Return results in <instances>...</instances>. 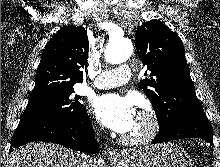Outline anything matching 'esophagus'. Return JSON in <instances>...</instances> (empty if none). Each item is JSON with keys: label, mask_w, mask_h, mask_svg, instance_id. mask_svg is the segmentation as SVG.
<instances>
[{"label": "esophagus", "mask_w": 220, "mask_h": 167, "mask_svg": "<svg viewBox=\"0 0 220 167\" xmlns=\"http://www.w3.org/2000/svg\"><path fill=\"white\" fill-rule=\"evenodd\" d=\"M104 155L109 160L116 161L120 159V154L115 149H113L111 146L108 145L105 147Z\"/></svg>", "instance_id": "34e87169"}]
</instances>
